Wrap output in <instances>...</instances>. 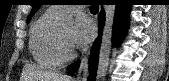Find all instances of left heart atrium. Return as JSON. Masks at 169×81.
<instances>
[{
	"mask_svg": "<svg viewBox=\"0 0 169 81\" xmlns=\"http://www.w3.org/2000/svg\"><path fill=\"white\" fill-rule=\"evenodd\" d=\"M93 34V26L89 19L82 14L75 17L74 25L70 33V44L72 48L84 46Z\"/></svg>",
	"mask_w": 169,
	"mask_h": 81,
	"instance_id": "left-heart-atrium-1",
	"label": "left heart atrium"
}]
</instances>
